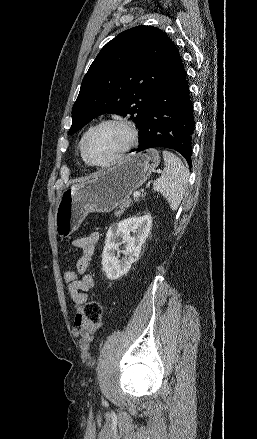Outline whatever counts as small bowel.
Instances as JSON below:
<instances>
[{
    "mask_svg": "<svg viewBox=\"0 0 257 439\" xmlns=\"http://www.w3.org/2000/svg\"><path fill=\"white\" fill-rule=\"evenodd\" d=\"M100 239L98 232H92L87 236L79 237L73 240L74 247L81 250L76 262L77 280L73 285H69V293L77 314L74 321L73 335L77 344L83 351H88L90 344L94 340L95 327L86 322L81 315L82 304L88 298V292L94 287V278L88 272V268L93 259L95 247Z\"/></svg>",
    "mask_w": 257,
    "mask_h": 439,
    "instance_id": "small-bowel-1",
    "label": "small bowel"
}]
</instances>
